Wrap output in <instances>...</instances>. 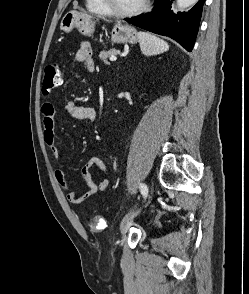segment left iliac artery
<instances>
[{
  "mask_svg": "<svg viewBox=\"0 0 249 294\" xmlns=\"http://www.w3.org/2000/svg\"><path fill=\"white\" fill-rule=\"evenodd\" d=\"M139 189H140L141 194L146 198L147 193H148V188H147L146 184L140 183Z\"/></svg>",
  "mask_w": 249,
  "mask_h": 294,
  "instance_id": "left-iliac-artery-1",
  "label": "left iliac artery"
}]
</instances>
